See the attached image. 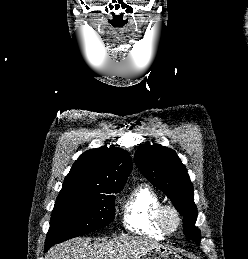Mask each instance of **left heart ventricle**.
<instances>
[{"instance_id":"1","label":"left heart ventricle","mask_w":248,"mask_h":259,"mask_svg":"<svg viewBox=\"0 0 248 259\" xmlns=\"http://www.w3.org/2000/svg\"><path fill=\"white\" fill-rule=\"evenodd\" d=\"M168 221H169V224L173 226V225L175 224V218H174V216L169 215Z\"/></svg>"}]
</instances>
